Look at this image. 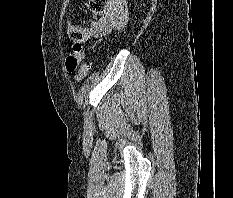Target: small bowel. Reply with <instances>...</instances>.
<instances>
[{
    "label": "small bowel",
    "mask_w": 233,
    "mask_h": 198,
    "mask_svg": "<svg viewBox=\"0 0 233 198\" xmlns=\"http://www.w3.org/2000/svg\"><path fill=\"white\" fill-rule=\"evenodd\" d=\"M127 18L126 0H108L104 12L91 29L90 37L103 36L112 30L122 29L127 22ZM73 54L78 58L79 62L84 58L81 47L74 48Z\"/></svg>",
    "instance_id": "small-bowel-1"
}]
</instances>
